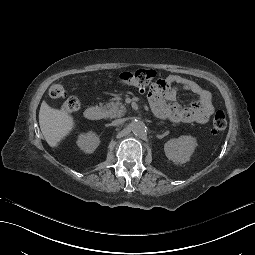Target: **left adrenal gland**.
<instances>
[{"label":"left adrenal gland","mask_w":255,"mask_h":255,"mask_svg":"<svg viewBox=\"0 0 255 255\" xmlns=\"http://www.w3.org/2000/svg\"><path fill=\"white\" fill-rule=\"evenodd\" d=\"M156 125L160 126V125H163L162 123H156Z\"/></svg>","instance_id":"a2214340"}]
</instances>
